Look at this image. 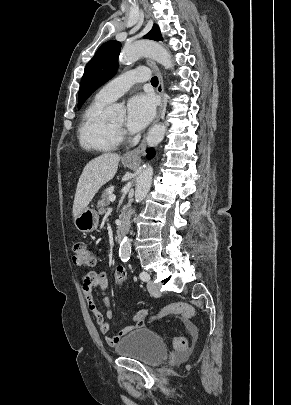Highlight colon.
I'll return each mask as SVG.
<instances>
[{
    "label": "colon",
    "instance_id": "5ec220e1",
    "mask_svg": "<svg viewBox=\"0 0 291 405\" xmlns=\"http://www.w3.org/2000/svg\"><path fill=\"white\" fill-rule=\"evenodd\" d=\"M72 261L76 267H93L96 264V254L87 243L82 241L76 242L73 246ZM114 281L120 289H123L126 285L127 274L123 266H117L115 269ZM170 314L180 315L186 320H191L195 316V311L188 304L174 303L164 307L158 316ZM172 343L177 350H185L188 346V342L184 337H175Z\"/></svg>",
    "mask_w": 291,
    "mask_h": 405
}]
</instances>
